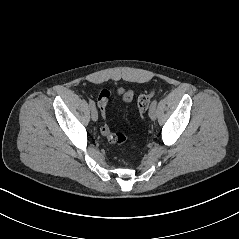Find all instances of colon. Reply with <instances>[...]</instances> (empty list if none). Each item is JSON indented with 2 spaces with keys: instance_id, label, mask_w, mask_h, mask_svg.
I'll return each instance as SVG.
<instances>
[{
  "instance_id": "colon-1",
  "label": "colon",
  "mask_w": 239,
  "mask_h": 239,
  "mask_svg": "<svg viewBox=\"0 0 239 239\" xmlns=\"http://www.w3.org/2000/svg\"><path fill=\"white\" fill-rule=\"evenodd\" d=\"M156 93L157 90L152 89L149 93L143 94L138 98L137 106L142 116H144V114L148 110L150 101L152 97L156 95ZM110 96L111 91L108 89H104L100 92L97 99V104L100 109V113L102 115L103 120H105L106 117V105ZM101 132L103 136L108 140V142L112 144H125L127 142V138L123 133L112 132L105 123L101 127Z\"/></svg>"
}]
</instances>
